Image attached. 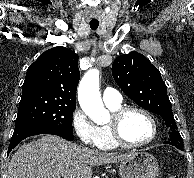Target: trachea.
<instances>
[{"label": "trachea", "mask_w": 194, "mask_h": 178, "mask_svg": "<svg viewBox=\"0 0 194 178\" xmlns=\"http://www.w3.org/2000/svg\"><path fill=\"white\" fill-rule=\"evenodd\" d=\"M98 26H99V23H90V28L92 30H96L98 28Z\"/></svg>", "instance_id": "trachea-1"}]
</instances>
